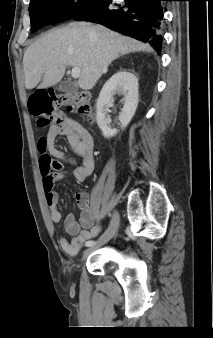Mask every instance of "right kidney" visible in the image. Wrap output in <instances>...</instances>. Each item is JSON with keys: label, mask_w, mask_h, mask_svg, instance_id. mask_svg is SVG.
Returning a JSON list of instances; mask_svg holds the SVG:
<instances>
[{"label": "right kidney", "mask_w": 213, "mask_h": 338, "mask_svg": "<svg viewBox=\"0 0 213 338\" xmlns=\"http://www.w3.org/2000/svg\"><path fill=\"white\" fill-rule=\"evenodd\" d=\"M115 94L124 95V106L119 115V120L122 129H125L135 115L138 106V78L126 70H120L102 87L96 104V120L105 138L113 137L118 133L117 129L108 126L106 115L103 112L105 105L113 103Z\"/></svg>", "instance_id": "ca27d5eb"}]
</instances>
